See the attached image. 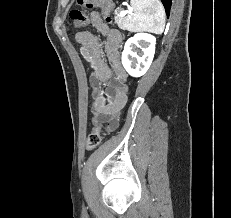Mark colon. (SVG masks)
Masks as SVG:
<instances>
[{
	"instance_id": "colon-1",
	"label": "colon",
	"mask_w": 231,
	"mask_h": 218,
	"mask_svg": "<svg viewBox=\"0 0 231 218\" xmlns=\"http://www.w3.org/2000/svg\"><path fill=\"white\" fill-rule=\"evenodd\" d=\"M80 6H83L88 9L100 8L104 15L105 21L111 23L112 18L110 16L112 11V2L111 0H77ZM70 19L72 24L76 28L83 27L88 23V16L80 10H72L70 12ZM102 138V126L97 125L93 128L89 134L86 142V147L88 150H93L101 143Z\"/></svg>"
}]
</instances>
